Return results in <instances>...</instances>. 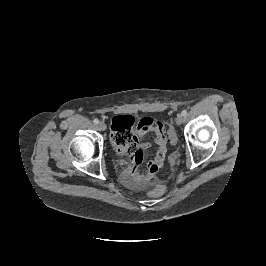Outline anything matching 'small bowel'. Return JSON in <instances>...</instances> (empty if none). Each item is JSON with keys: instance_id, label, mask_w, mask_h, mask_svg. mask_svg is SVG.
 Returning <instances> with one entry per match:
<instances>
[{"instance_id": "c3829d8e", "label": "small bowel", "mask_w": 266, "mask_h": 266, "mask_svg": "<svg viewBox=\"0 0 266 266\" xmlns=\"http://www.w3.org/2000/svg\"><path fill=\"white\" fill-rule=\"evenodd\" d=\"M149 131L156 135L157 151L153 160L148 163L147 170L141 172L138 167L144 158V150L150 147L142 142V137ZM172 135V133H170ZM111 140L116 150L126 157L123 180L131 187L149 180L164 164L166 156V132L163 122L153 118H142L134 126V118L130 115H118L111 121Z\"/></svg>"}]
</instances>
